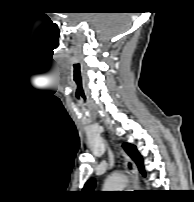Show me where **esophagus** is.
<instances>
[{"label":"esophagus","mask_w":194,"mask_h":202,"mask_svg":"<svg viewBox=\"0 0 194 202\" xmlns=\"http://www.w3.org/2000/svg\"><path fill=\"white\" fill-rule=\"evenodd\" d=\"M122 155H123V159H124L125 168L131 177L132 185L134 188H136L138 186L137 167H136L135 163L131 160V158L128 155H126L123 151H122Z\"/></svg>","instance_id":"esophagus-1"}]
</instances>
